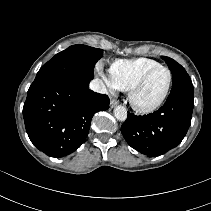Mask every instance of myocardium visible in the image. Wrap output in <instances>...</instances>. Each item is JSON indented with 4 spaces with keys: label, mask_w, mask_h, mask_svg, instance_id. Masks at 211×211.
I'll list each match as a JSON object with an SVG mask.
<instances>
[{
    "label": "myocardium",
    "mask_w": 211,
    "mask_h": 211,
    "mask_svg": "<svg viewBox=\"0 0 211 211\" xmlns=\"http://www.w3.org/2000/svg\"><path fill=\"white\" fill-rule=\"evenodd\" d=\"M158 69H164L167 71L168 73V82L166 85V88L163 92V94L161 95V97L154 103L150 104V105H142L138 102V94L140 92V90L142 89V87L144 86L145 82L147 81L148 77L156 70ZM172 72L171 70L163 65H157L154 66L150 69H148L146 72H144L142 74V76L137 80V82L133 85V87L129 90V101L131 106L133 107V109L141 114H150L155 112L156 110H158L166 101L170 89H171V85H172Z\"/></svg>",
    "instance_id": "myocardium-1"
}]
</instances>
